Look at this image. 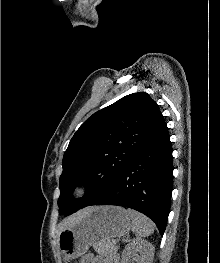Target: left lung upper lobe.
<instances>
[{"label":"left lung upper lobe","instance_id":"1","mask_svg":"<svg viewBox=\"0 0 220 263\" xmlns=\"http://www.w3.org/2000/svg\"><path fill=\"white\" fill-rule=\"evenodd\" d=\"M165 123L145 92L129 94L90 116L72 137L63 157L58 205L63 214L88 206L105 192L139 147ZM87 194L70 199L76 186Z\"/></svg>","mask_w":220,"mask_h":263}]
</instances>
